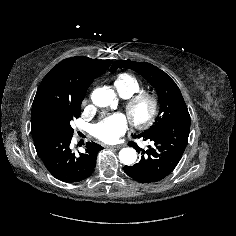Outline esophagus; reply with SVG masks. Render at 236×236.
Instances as JSON below:
<instances>
[{
    "instance_id": "obj_1",
    "label": "esophagus",
    "mask_w": 236,
    "mask_h": 236,
    "mask_svg": "<svg viewBox=\"0 0 236 236\" xmlns=\"http://www.w3.org/2000/svg\"><path fill=\"white\" fill-rule=\"evenodd\" d=\"M107 148L111 149H120L122 146L121 145H114V146H106Z\"/></svg>"
}]
</instances>
